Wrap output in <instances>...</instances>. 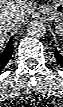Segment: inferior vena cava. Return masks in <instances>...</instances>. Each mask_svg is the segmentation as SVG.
I'll return each instance as SVG.
<instances>
[{
	"instance_id": "602c4592",
	"label": "inferior vena cava",
	"mask_w": 63,
	"mask_h": 107,
	"mask_svg": "<svg viewBox=\"0 0 63 107\" xmlns=\"http://www.w3.org/2000/svg\"><path fill=\"white\" fill-rule=\"evenodd\" d=\"M16 22H17V18L13 15L8 16L6 18L1 17V20H0L1 26L8 28V29L13 28L15 26Z\"/></svg>"
}]
</instances>
